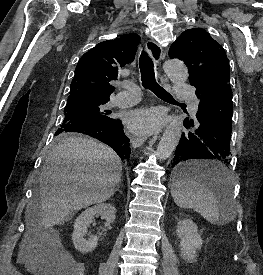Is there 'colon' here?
I'll use <instances>...</instances> for the list:
<instances>
[{
  "label": "colon",
  "instance_id": "obj_1",
  "mask_svg": "<svg viewBox=\"0 0 263 275\" xmlns=\"http://www.w3.org/2000/svg\"><path fill=\"white\" fill-rule=\"evenodd\" d=\"M50 253L52 256V265L57 268L64 270L70 274H77L79 271V266L68 259L62 249L57 246L50 248Z\"/></svg>",
  "mask_w": 263,
  "mask_h": 275
}]
</instances>
